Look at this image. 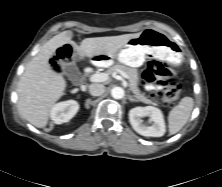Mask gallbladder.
Masks as SVG:
<instances>
[{
  "label": "gallbladder",
  "mask_w": 222,
  "mask_h": 187,
  "mask_svg": "<svg viewBox=\"0 0 222 187\" xmlns=\"http://www.w3.org/2000/svg\"><path fill=\"white\" fill-rule=\"evenodd\" d=\"M62 73L68 77L73 84H79L82 79V74L75 63L60 62Z\"/></svg>",
  "instance_id": "bac80fb5"
}]
</instances>
